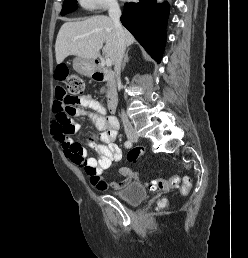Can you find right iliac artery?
Listing matches in <instances>:
<instances>
[{"label": "right iliac artery", "mask_w": 248, "mask_h": 258, "mask_svg": "<svg viewBox=\"0 0 248 258\" xmlns=\"http://www.w3.org/2000/svg\"><path fill=\"white\" fill-rule=\"evenodd\" d=\"M125 147L126 148H131L132 147V141L128 140L125 142Z\"/></svg>", "instance_id": "obj_1"}]
</instances>
